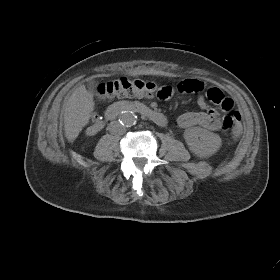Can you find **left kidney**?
I'll list each match as a JSON object with an SVG mask.
<instances>
[{"label": "left kidney", "instance_id": "left-kidney-1", "mask_svg": "<svg viewBox=\"0 0 280 280\" xmlns=\"http://www.w3.org/2000/svg\"><path fill=\"white\" fill-rule=\"evenodd\" d=\"M184 138L191 152L199 157L211 156L221 146L219 135L200 127L185 130Z\"/></svg>", "mask_w": 280, "mask_h": 280}]
</instances>
